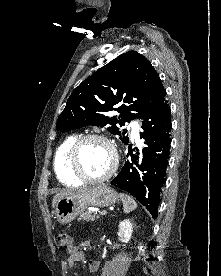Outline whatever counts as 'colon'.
<instances>
[{"label": "colon", "mask_w": 221, "mask_h": 276, "mask_svg": "<svg viewBox=\"0 0 221 276\" xmlns=\"http://www.w3.org/2000/svg\"><path fill=\"white\" fill-rule=\"evenodd\" d=\"M56 245L67 249H70L73 246L69 235L65 231L60 232L58 235Z\"/></svg>", "instance_id": "1"}]
</instances>
